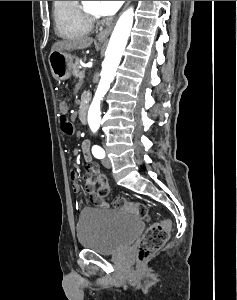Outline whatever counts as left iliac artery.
Returning a JSON list of instances; mask_svg holds the SVG:
<instances>
[{"label": "left iliac artery", "instance_id": "44dca946", "mask_svg": "<svg viewBox=\"0 0 237 300\" xmlns=\"http://www.w3.org/2000/svg\"><path fill=\"white\" fill-rule=\"evenodd\" d=\"M92 154L98 159H102L105 157V151L98 145H94L92 147Z\"/></svg>", "mask_w": 237, "mask_h": 300}]
</instances>
